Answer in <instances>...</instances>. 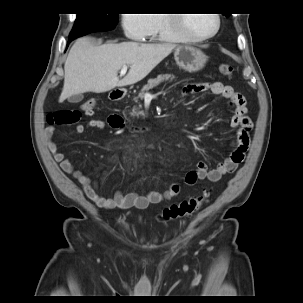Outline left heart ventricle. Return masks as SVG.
<instances>
[{
  "label": "left heart ventricle",
  "mask_w": 303,
  "mask_h": 303,
  "mask_svg": "<svg viewBox=\"0 0 303 303\" xmlns=\"http://www.w3.org/2000/svg\"><path fill=\"white\" fill-rule=\"evenodd\" d=\"M215 27V19L211 14H187L186 28L195 35H204Z\"/></svg>",
  "instance_id": "left-heart-ventricle-1"
}]
</instances>
